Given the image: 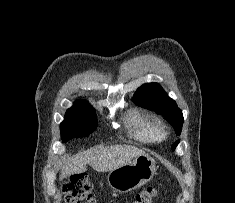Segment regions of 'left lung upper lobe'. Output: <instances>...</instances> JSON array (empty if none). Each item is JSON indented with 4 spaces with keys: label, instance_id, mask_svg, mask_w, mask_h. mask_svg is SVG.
<instances>
[{
    "label": "left lung upper lobe",
    "instance_id": "5c2ea615",
    "mask_svg": "<svg viewBox=\"0 0 235 203\" xmlns=\"http://www.w3.org/2000/svg\"><path fill=\"white\" fill-rule=\"evenodd\" d=\"M133 101L138 106L153 110L167 118L174 127L177 135H180L183 125L182 111L177 107L175 101L157 83H147L137 89L133 96ZM175 142L172 149L178 145Z\"/></svg>",
    "mask_w": 235,
    "mask_h": 203
}]
</instances>
